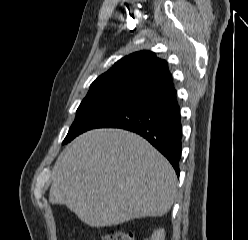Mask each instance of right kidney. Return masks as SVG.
<instances>
[{
    "mask_svg": "<svg viewBox=\"0 0 248 240\" xmlns=\"http://www.w3.org/2000/svg\"><path fill=\"white\" fill-rule=\"evenodd\" d=\"M165 239V232L164 229H158L154 231L150 240H164Z\"/></svg>",
    "mask_w": 248,
    "mask_h": 240,
    "instance_id": "obj_1",
    "label": "right kidney"
}]
</instances>
